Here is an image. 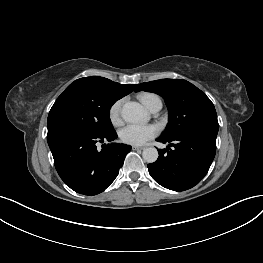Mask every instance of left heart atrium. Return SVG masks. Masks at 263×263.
<instances>
[{
	"instance_id": "1",
	"label": "left heart atrium",
	"mask_w": 263,
	"mask_h": 263,
	"mask_svg": "<svg viewBox=\"0 0 263 263\" xmlns=\"http://www.w3.org/2000/svg\"><path fill=\"white\" fill-rule=\"evenodd\" d=\"M158 133L154 125L130 124L120 131L122 142L130 145H142Z\"/></svg>"
}]
</instances>
